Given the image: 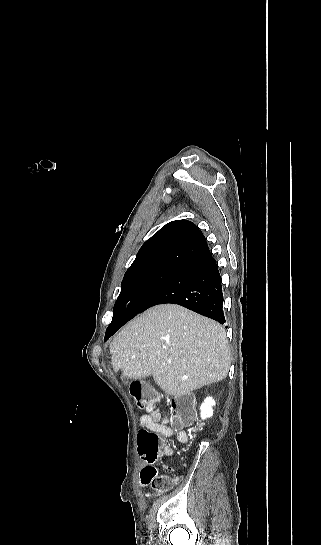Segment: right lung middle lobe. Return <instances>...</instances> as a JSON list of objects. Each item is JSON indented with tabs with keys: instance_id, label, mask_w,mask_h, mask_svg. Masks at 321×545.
Segmentation results:
<instances>
[{
	"instance_id": "1",
	"label": "right lung middle lobe",
	"mask_w": 321,
	"mask_h": 545,
	"mask_svg": "<svg viewBox=\"0 0 321 545\" xmlns=\"http://www.w3.org/2000/svg\"><path fill=\"white\" fill-rule=\"evenodd\" d=\"M175 269L172 266L154 265L127 271L114 305L112 322L135 317Z\"/></svg>"
}]
</instances>
